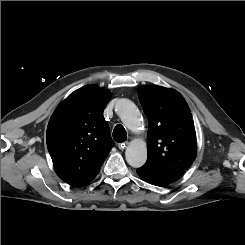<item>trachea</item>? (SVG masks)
<instances>
[{
  "label": "trachea",
  "mask_w": 245,
  "mask_h": 245,
  "mask_svg": "<svg viewBox=\"0 0 245 245\" xmlns=\"http://www.w3.org/2000/svg\"><path fill=\"white\" fill-rule=\"evenodd\" d=\"M113 138L116 142L121 143L127 139V133L122 125H117L113 130Z\"/></svg>",
  "instance_id": "1"
}]
</instances>
